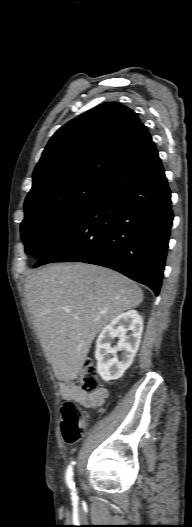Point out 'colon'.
I'll use <instances>...</instances> for the list:
<instances>
[{
	"mask_svg": "<svg viewBox=\"0 0 192 527\" xmlns=\"http://www.w3.org/2000/svg\"><path fill=\"white\" fill-rule=\"evenodd\" d=\"M76 384L86 392H93L98 389V375L95 364L85 361L80 373L75 378ZM62 435L67 444L77 442L86 430L85 421L82 418L78 406L72 401H66L61 407Z\"/></svg>",
	"mask_w": 192,
	"mask_h": 527,
	"instance_id": "1",
	"label": "colon"
}]
</instances>
